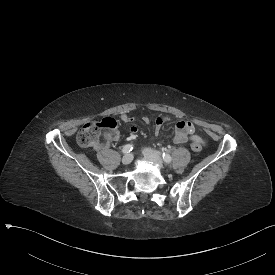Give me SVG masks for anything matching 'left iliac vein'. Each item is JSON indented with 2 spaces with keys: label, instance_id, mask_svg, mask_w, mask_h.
<instances>
[{
  "label": "left iliac vein",
  "instance_id": "4c4485c4",
  "mask_svg": "<svg viewBox=\"0 0 275 275\" xmlns=\"http://www.w3.org/2000/svg\"><path fill=\"white\" fill-rule=\"evenodd\" d=\"M142 154L147 160L157 164L158 166H162L163 164L162 158L156 151L150 148H145L142 150Z\"/></svg>",
  "mask_w": 275,
  "mask_h": 275
}]
</instances>
